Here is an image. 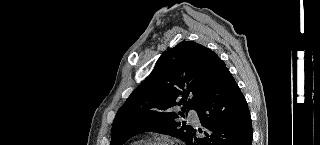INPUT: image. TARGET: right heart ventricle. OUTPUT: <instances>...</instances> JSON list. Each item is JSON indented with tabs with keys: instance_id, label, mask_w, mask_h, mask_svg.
Wrapping results in <instances>:
<instances>
[{
	"instance_id": "1",
	"label": "right heart ventricle",
	"mask_w": 320,
	"mask_h": 145,
	"mask_svg": "<svg viewBox=\"0 0 320 145\" xmlns=\"http://www.w3.org/2000/svg\"><path fill=\"white\" fill-rule=\"evenodd\" d=\"M130 145H140V141H134Z\"/></svg>"
}]
</instances>
